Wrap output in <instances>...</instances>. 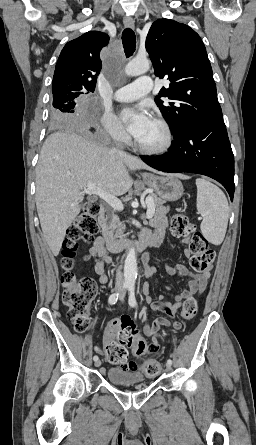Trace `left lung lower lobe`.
<instances>
[{"mask_svg": "<svg viewBox=\"0 0 256 445\" xmlns=\"http://www.w3.org/2000/svg\"><path fill=\"white\" fill-rule=\"evenodd\" d=\"M173 136L174 144L167 153L140 158L163 172L209 176L219 181L233 200L234 157L224 122L190 120Z\"/></svg>", "mask_w": 256, "mask_h": 445, "instance_id": "left-lung-lower-lobe-1", "label": "left lung lower lobe"}]
</instances>
